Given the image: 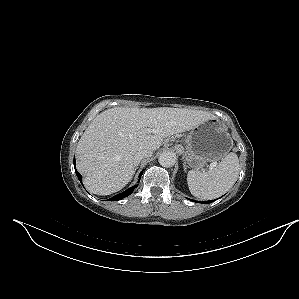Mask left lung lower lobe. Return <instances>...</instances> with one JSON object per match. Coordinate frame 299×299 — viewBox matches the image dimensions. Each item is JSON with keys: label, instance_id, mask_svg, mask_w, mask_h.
Segmentation results:
<instances>
[{"label": "left lung lower lobe", "instance_id": "1", "mask_svg": "<svg viewBox=\"0 0 299 299\" xmlns=\"http://www.w3.org/2000/svg\"><path fill=\"white\" fill-rule=\"evenodd\" d=\"M190 200H191V199H190ZM191 201H193V200H191ZM194 202H196V201H194ZM211 202H213V200H210V201H202V202H200V203L208 204V203H211Z\"/></svg>", "mask_w": 299, "mask_h": 299}]
</instances>
